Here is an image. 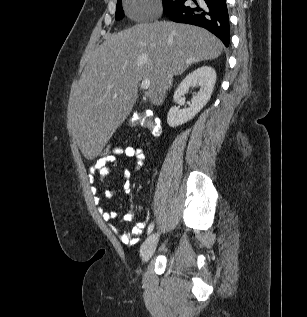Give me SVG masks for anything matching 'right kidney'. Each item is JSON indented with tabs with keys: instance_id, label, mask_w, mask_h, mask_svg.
I'll return each instance as SVG.
<instances>
[{
	"instance_id": "right-kidney-1",
	"label": "right kidney",
	"mask_w": 307,
	"mask_h": 317,
	"mask_svg": "<svg viewBox=\"0 0 307 317\" xmlns=\"http://www.w3.org/2000/svg\"><path fill=\"white\" fill-rule=\"evenodd\" d=\"M216 82V72L210 66H202L189 73L176 89L173 99L175 101L181 99L189 88L199 86L200 91L193 96L192 103L189 108L179 109L173 106L167 114V123L170 127H176L191 120L209 101Z\"/></svg>"
}]
</instances>
